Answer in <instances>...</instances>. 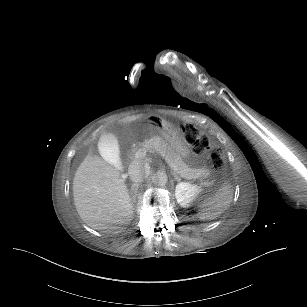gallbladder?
<instances>
[{
  "instance_id": "1",
  "label": "gallbladder",
  "mask_w": 307,
  "mask_h": 307,
  "mask_svg": "<svg viewBox=\"0 0 307 307\" xmlns=\"http://www.w3.org/2000/svg\"><path fill=\"white\" fill-rule=\"evenodd\" d=\"M97 148L99 154L106 162H111L116 171L123 169L122 158L120 154V142L116 134L101 133L97 139Z\"/></svg>"
}]
</instances>
